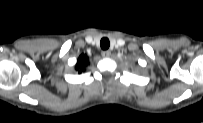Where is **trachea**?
I'll use <instances>...</instances> for the list:
<instances>
[{
	"label": "trachea",
	"mask_w": 203,
	"mask_h": 123,
	"mask_svg": "<svg viewBox=\"0 0 203 123\" xmlns=\"http://www.w3.org/2000/svg\"><path fill=\"white\" fill-rule=\"evenodd\" d=\"M100 46L103 50H107L110 46V42L108 38H102L100 41Z\"/></svg>",
	"instance_id": "1"
}]
</instances>
